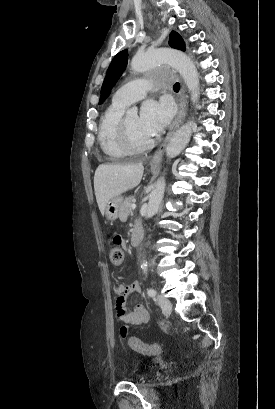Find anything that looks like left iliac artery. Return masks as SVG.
Here are the masks:
<instances>
[{
  "instance_id": "left-iliac-artery-1",
  "label": "left iliac artery",
  "mask_w": 275,
  "mask_h": 409,
  "mask_svg": "<svg viewBox=\"0 0 275 409\" xmlns=\"http://www.w3.org/2000/svg\"><path fill=\"white\" fill-rule=\"evenodd\" d=\"M147 293L150 297L156 296V290L153 288L148 289Z\"/></svg>"
}]
</instances>
